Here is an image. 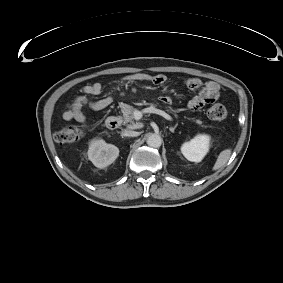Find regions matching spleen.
I'll list each match as a JSON object with an SVG mask.
<instances>
[{"label": "spleen", "mask_w": 283, "mask_h": 283, "mask_svg": "<svg viewBox=\"0 0 283 283\" xmlns=\"http://www.w3.org/2000/svg\"><path fill=\"white\" fill-rule=\"evenodd\" d=\"M231 156V149H225L220 152L218 158L213 166V170H218L219 168L223 167Z\"/></svg>", "instance_id": "3e777b00"}]
</instances>
